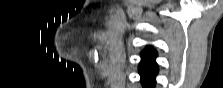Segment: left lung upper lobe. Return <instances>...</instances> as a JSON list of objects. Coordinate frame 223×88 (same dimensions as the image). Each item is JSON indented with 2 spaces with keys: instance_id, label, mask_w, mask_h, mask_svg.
Instances as JSON below:
<instances>
[{
  "instance_id": "left-lung-upper-lobe-1",
  "label": "left lung upper lobe",
  "mask_w": 223,
  "mask_h": 88,
  "mask_svg": "<svg viewBox=\"0 0 223 88\" xmlns=\"http://www.w3.org/2000/svg\"><path fill=\"white\" fill-rule=\"evenodd\" d=\"M156 56V52L150 48L146 49L143 53H142V57L144 59H149L150 61L154 60ZM154 62V61H153Z\"/></svg>"
}]
</instances>
